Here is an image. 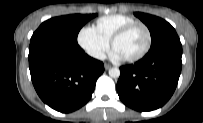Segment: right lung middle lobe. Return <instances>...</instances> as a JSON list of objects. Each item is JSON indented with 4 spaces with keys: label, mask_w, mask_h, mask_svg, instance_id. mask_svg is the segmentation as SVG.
Masks as SVG:
<instances>
[{
    "label": "right lung middle lobe",
    "mask_w": 203,
    "mask_h": 123,
    "mask_svg": "<svg viewBox=\"0 0 203 123\" xmlns=\"http://www.w3.org/2000/svg\"><path fill=\"white\" fill-rule=\"evenodd\" d=\"M93 17L95 14H73L51 18L39 26L31 40L49 39L77 45V35L80 29Z\"/></svg>",
    "instance_id": "obj_1"
}]
</instances>
